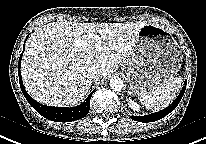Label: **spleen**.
Segmentation results:
<instances>
[{
  "label": "spleen",
  "mask_w": 206,
  "mask_h": 144,
  "mask_svg": "<svg viewBox=\"0 0 206 144\" xmlns=\"http://www.w3.org/2000/svg\"><path fill=\"white\" fill-rule=\"evenodd\" d=\"M181 83L182 77L168 79L161 87L150 92L141 93L139 99L146 108L159 111L166 108L176 98Z\"/></svg>",
  "instance_id": "spleen-1"
}]
</instances>
